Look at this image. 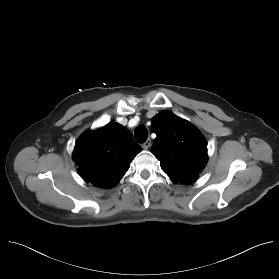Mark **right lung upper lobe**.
Here are the masks:
<instances>
[{
  "instance_id": "1",
  "label": "right lung upper lobe",
  "mask_w": 279,
  "mask_h": 279,
  "mask_svg": "<svg viewBox=\"0 0 279 279\" xmlns=\"http://www.w3.org/2000/svg\"><path fill=\"white\" fill-rule=\"evenodd\" d=\"M140 151L128 129L110 122L84 133L76 142L73 158L85 181L107 189L120 181Z\"/></svg>"
}]
</instances>
